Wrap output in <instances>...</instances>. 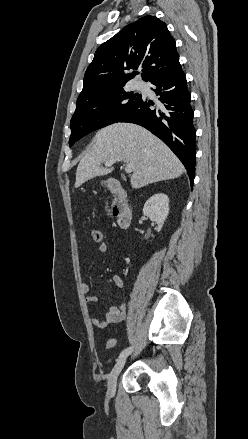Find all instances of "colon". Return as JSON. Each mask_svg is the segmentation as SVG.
I'll return each mask as SVG.
<instances>
[{
  "instance_id": "obj_1",
  "label": "colon",
  "mask_w": 248,
  "mask_h": 439,
  "mask_svg": "<svg viewBox=\"0 0 248 439\" xmlns=\"http://www.w3.org/2000/svg\"><path fill=\"white\" fill-rule=\"evenodd\" d=\"M91 238L94 242L96 243H102L103 242V233L100 229L98 228H94L91 230ZM116 345V341L115 340H109L107 342V347L108 348H112Z\"/></svg>"
}]
</instances>
